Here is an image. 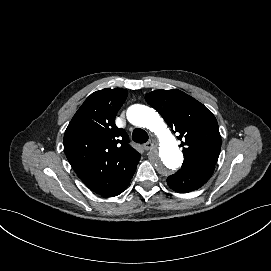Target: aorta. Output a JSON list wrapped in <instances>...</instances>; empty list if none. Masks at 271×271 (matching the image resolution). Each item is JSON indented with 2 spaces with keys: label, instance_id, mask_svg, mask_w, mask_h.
<instances>
[{
  "label": "aorta",
  "instance_id": "obj_1",
  "mask_svg": "<svg viewBox=\"0 0 271 271\" xmlns=\"http://www.w3.org/2000/svg\"><path fill=\"white\" fill-rule=\"evenodd\" d=\"M127 119L132 124L146 127L159 136L160 144L150 154L151 163L159 173L168 175L181 166L182 152L164 120L154 109L145 105H132L127 110Z\"/></svg>",
  "mask_w": 271,
  "mask_h": 271
}]
</instances>
